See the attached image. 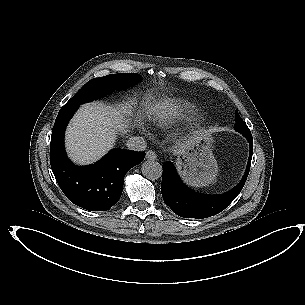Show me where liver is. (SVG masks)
I'll return each instance as SVG.
<instances>
[{"label": "liver", "instance_id": "6515ba94", "mask_svg": "<svg viewBox=\"0 0 305 305\" xmlns=\"http://www.w3.org/2000/svg\"><path fill=\"white\" fill-rule=\"evenodd\" d=\"M130 111L101 101L81 105L65 132V148L69 158L77 165H89L102 158L114 147L117 131H127L124 114ZM167 117L166 113H157L158 121ZM192 140L181 143L177 153L186 149Z\"/></svg>", "mask_w": 305, "mask_h": 305}]
</instances>
